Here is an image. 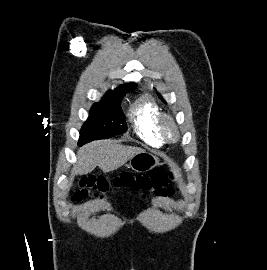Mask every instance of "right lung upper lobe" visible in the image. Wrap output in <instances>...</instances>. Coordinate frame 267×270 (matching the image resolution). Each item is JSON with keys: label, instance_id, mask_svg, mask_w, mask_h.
<instances>
[{"label": "right lung upper lobe", "instance_id": "obj_1", "mask_svg": "<svg viewBox=\"0 0 267 270\" xmlns=\"http://www.w3.org/2000/svg\"><path fill=\"white\" fill-rule=\"evenodd\" d=\"M136 87V84H125L123 87H118L116 88L114 91H109V92H115V93H120V92H124L130 89H133Z\"/></svg>", "mask_w": 267, "mask_h": 270}]
</instances>
